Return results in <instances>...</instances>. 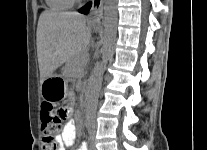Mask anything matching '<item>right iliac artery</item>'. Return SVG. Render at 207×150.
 Instances as JSON below:
<instances>
[{
    "label": "right iliac artery",
    "instance_id": "1",
    "mask_svg": "<svg viewBox=\"0 0 207 150\" xmlns=\"http://www.w3.org/2000/svg\"><path fill=\"white\" fill-rule=\"evenodd\" d=\"M79 150H87V144L84 142Z\"/></svg>",
    "mask_w": 207,
    "mask_h": 150
}]
</instances>
